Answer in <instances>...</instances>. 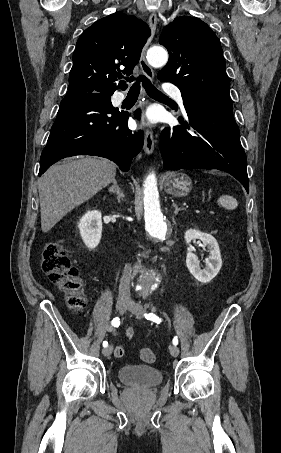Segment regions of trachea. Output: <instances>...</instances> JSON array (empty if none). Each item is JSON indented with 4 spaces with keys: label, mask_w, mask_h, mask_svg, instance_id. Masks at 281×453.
<instances>
[{
    "label": "trachea",
    "mask_w": 281,
    "mask_h": 453,
    "mask_svg": "<svg viewBox=\"0 0 281 453\" xmlns=\"http://www.w3.org/2000/svg\"><path fill=\"white\" fill-rule=\"evenodd\" d=\"M126 80L132 82L135 80V78L130 77V78H126ZM140 81L142 82V85L144 86L148 95H150L151 97H166V95H164V93L157 90V88H155L151 84L150 80L147 77L142 76V75L138 77V79L134 82V84L130 88V91L128 92V97L138 98L139 91H140V84H139Z\"/></svg>",
    "instance_id": "obj_1"
}]
</instances>
